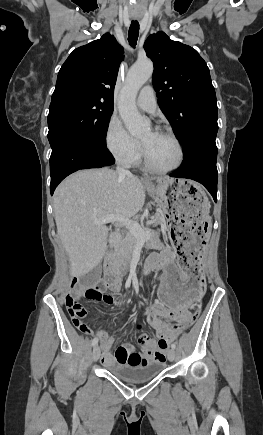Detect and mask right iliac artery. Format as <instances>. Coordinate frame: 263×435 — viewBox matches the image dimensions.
Masks as SVG:
<instances>
[{
	"mask_svg": "<svg viewBox=\"0 0 263 435\" xmlns=\"http://www.w3.org/2000/svg\"><path fill=\"white\" fill-rule=\"evenodd\" d=\"M97 343H98V338H94L93 340H92V346H95V345H97Z\"/></svg>",
	"mask_w": 263,
	"mask_h": 435,
	"instance_id": "82829eb1",
	"label": "right iliac artery"
}]
</instances>
